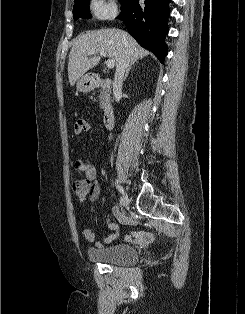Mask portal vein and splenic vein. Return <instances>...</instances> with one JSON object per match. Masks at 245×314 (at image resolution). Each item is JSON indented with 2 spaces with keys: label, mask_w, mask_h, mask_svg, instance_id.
I'll return each mask as SVG.
<instances>
[{
  "label": "portal vein and splenic vein",
  "mask_w": 245,
  "mask_h": 314,
  "mask_svg": "<svg viewBox=\"0 0 245 314\" xmlns=\"http://www.w3.org/2000/svg\"><path fill=\"white\" fill-rule=\"evenodd\" d=\"M94 54H95V51L88 52V55H94ZM100 55L103 56V57H106L107 54L104 51H101ZM114 65H115V61L113 59H108L107 60V62H106L107 68H113Z\"/></svg>",
  "instance_id": "18ae733b"
}]
</instances>
